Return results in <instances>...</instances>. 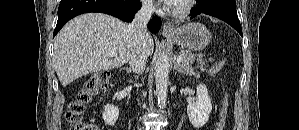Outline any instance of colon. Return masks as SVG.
<instances>
[{"mask_svg":"<svg viewBox=\"0 0 299 130\" xmlns=\"http://www.w3.org/2000/svg\"><path fill=\"white\" fill-rule=\"evenodd\" d=\"M223 61L215 63L213 70H219ZM110 73L106 71L96 72L90 75L84 82L75 100L71 102L66 111V120L70 125V130H99L98 127L85 121L84 114L87 106L91 103L94 96L100 91L105 90L110 83ZM228 112V101L225 94L222 95L221 117L216 130H223Z\"/></svg>","mask_w":299,"mask_h":130,"instance_id":"1","label":"colon"}]
</instances>
